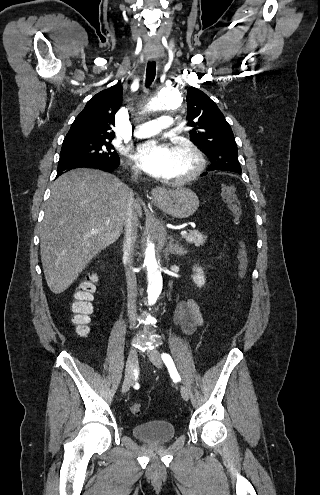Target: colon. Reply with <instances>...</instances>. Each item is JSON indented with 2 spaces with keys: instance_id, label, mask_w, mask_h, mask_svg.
Segmentation results:
<instances>
[{
  "instance_id": "1",
  "label": "colon",
  "mask_w": 320,
  "mask_h": 495,
  "mask_svg": "<svg viewBox=\"0 0 320 495\" xmlns=\"http://www.w3.org/2000/svg\"><path fill=\"white\" fill-rule=\"evenodd\" d=\"M220 195L232 213L234 221L239 223L242 218V209L235 187L232 184H223L220 188ZM248 258L249 251L247 245L244 241H241L239 243L237 260L238 274L242 279L247 273ZM93 289L94 285L91 281L84 282L79 286L74 296L72 303L73 320L80 333H84L88 329L89 318L93 311ZM130 411L133 415L138 416L142 413V405L139 402H134L130 406Z\"/></svg>"
}]
</instances>
